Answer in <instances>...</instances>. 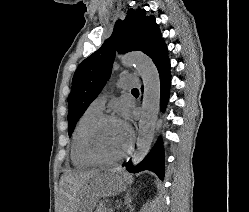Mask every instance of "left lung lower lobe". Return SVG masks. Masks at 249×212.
<instances>
[{"label":"left lung lower lobe","mask_w":249,"mask_h":212,"mask_svg":"<svg viewBox=\"0 0 249 212\" xmlns=\"http://www.w3.org/2000/svg\"><path fill=\"white\" fill-rule=\"evenodd\" d=\"M159 75H160V88H161V97H160V107L163 111L167 105L169 99V91L171 84V75H170V62L168 58L167 48H163L160 53L153 59ZM126 169L129 172L137 173L143 170L153 171L158 175L160 179L164 177V150L162 146V141L159 139L152 151L148 156L137 166H133L131 161L125 164Z\"/></svg>","instance_id":"left-lung-lower-lobe-1"}]
</instances>
